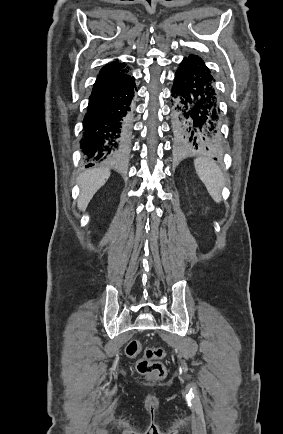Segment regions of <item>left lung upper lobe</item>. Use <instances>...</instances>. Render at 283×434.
<instances>
[{
	"label": "left lung upper lobe",
	"instance_id": "5c2ea615",
	"mask_svg": "<svg viewBox=\"0 0 283 434\" xmlns=\"http://www.w3.org/2000/svg\"><path fill=\"white\" fill-rule=\"evenodd\" d=\"M188 59L192 60L195 64L208 69V67L205 65V63L203 62V60L199 56L190 55Z\"/></svg>",
	"mask_w": 283,
	"mask_h": 434
}]
</instances>
